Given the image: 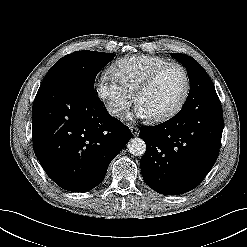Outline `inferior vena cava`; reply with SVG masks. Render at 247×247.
Returning a JSON list of instances; mask_svg holds the SVG:
<instances>
[{"label":"inferior vena cava","instance_id":"602c4592","mask_svg":"<svg viewBox=\"0 0 247 247\" xmlns=\"http://www.w3.org/2000/svg\"><path fill=\"white\" fill-rule=\"evenodd\" d=\"M108 111H109V113H111V114H117V113L120 112V109H118V108H116V107H113V106H109Z\"/></svg>","mask_w":247,"mask_h":247}]
</instances>
